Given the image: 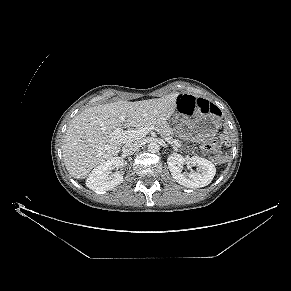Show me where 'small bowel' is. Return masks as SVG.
Instances as JSON below:
<instances>
[{
    "label": "small bowel",
    "instance_id": "c3829d8e",
    "mask_svg": "<svg viewBox=\"0 0 291 291\" xmlns=\"http://www.w3.org/2000/svg\"><path fill=\"white\" fill-rule=\"evenodd\" d=\"M186 96H189V97H195V96H191V95H186Z\"/></svg>",
    "mask_w": 291,
    "mask_h": 291
}]
</instances>
